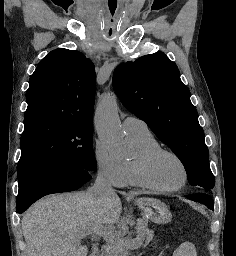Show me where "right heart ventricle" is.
I'll use <instances>...</instances> for the list:
<instances>
[{
  "label": "right heart ventricle",
  "mask_w": 236,
  "mask_h": 256,
  "mask_svg": "<svg viewBox=\"0 0 236 256\" xmlns=\"http://www.w3.org/2000/svg\"><path fill=\"white\" fill-rule=\"evenodd\" d=\"M131 138L135 144L137 153L160 147L159 143L151 133L144 136H131ZM123 164L126 171L127 185L135 188H143L144 186L140 183L137 177L134 161H126L123 162Z\"/></svg>",
  "instance_id": "obj_1"
}]
</instances>
